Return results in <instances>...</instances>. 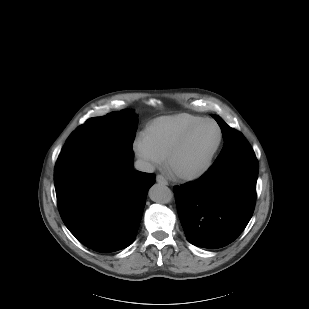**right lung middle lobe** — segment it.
I'll return each instance as SVG.
<instances>
[{
	"label": "right lung middle lobe",
	"mask_w": 309,
	"mask_h": 309,
	"mask_svg": "<svg viewBox=\"0 0 309 309\" xmlns=\"http://www.w3.org/2000/svg\"><path fill=\"white\" fill-rule=\"evenodd\" d=\"M137 123L133 110L112 112L89 119L67 139L56 162L55 171L96 145L109 144L132 150Z\"/></svg>",
	"instance_id": "dd1d6c3e"
}]
</instances>
